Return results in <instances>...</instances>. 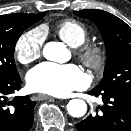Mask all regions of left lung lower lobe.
<instances>
[{"label": "left lung lower lobe", "mask_w": 131, "mask_h": 131, "mask_svg": "<svg viewBox=\"0 0 131 131\" xmlns=\"http://www.w3.org/2000/svg\"><path fill=\"white\" fill-rule=\"evenodd\" d=\"M88 94L102 96L104 105L77 123L78 131H131V92L94 88Z\"/></svg>", "instance_id": "left-lung-lower-lobe-1"}]
</instances>
